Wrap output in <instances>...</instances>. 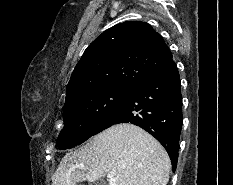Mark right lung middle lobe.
<instances>
[{
	"label": "right lung middle lobe",
	"instance_id": "obj_1",
	"mask_svg": "<svg viewBox=\"0 0 233 185\" xmlns=\"http://www.w3.org/2000/svg\"><path fill=\"white\" fill-rule=\"evenodd\" d=\"M130 89L105 88L83 94L64 105V128L57 147L68 149L86 141L100 123L124 100Z\"/></svg>",
	"mask_w": 233,
	"mask_h": 185
}]
</instances>
